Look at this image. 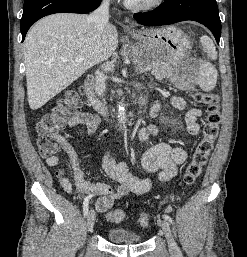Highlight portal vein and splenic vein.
Here are the masks:
<instances>
[{
  "label": "portal vein and splenic vein",
  "mask_w": 247,
  "mask_h": 257,
  "mask_svg": "<svg viewBox=\"0 0 247 257\" xmlns=\"http://www.w3.org/2000/svg\"><path fill=\"white\" fill-rule=\"evenodd\" d=\"M85 58L84 57H78L77 61H83ZM147 70H150V68H148Z\"/></svg>",
  "instance_id": "1"
}]
</instances>
